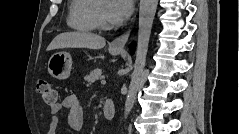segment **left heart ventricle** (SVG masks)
<instances>
[{"label": "left heart ventricle", "mask_w": 239, "mask_h": 134, "mask_svg": "<svg viewBox=\"0 0 239 134\" xmlns=\"http://www.w3.org/2000/svg\"><path fill=\"white\" fill-rule=\"evenodd\" d=\"M107 7H108V2L106 0H101L100 1V9H101L102 16L107 23L112 24V22L108 16V13H107Z\"/></svg>", "instance_id": "b2bd125f"}]
</instances>
